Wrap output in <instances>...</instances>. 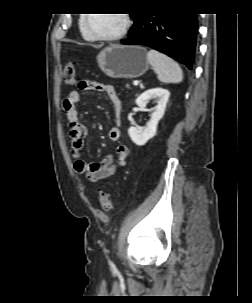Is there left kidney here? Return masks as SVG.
<instances>
[{"mask_svg":"<svg viewBox=\"0 0 252 303\" xmlns=\"http://www.w3.org/2000/svg\"><path fill=\"white\" fill-rule=\"evenodd\" d=\"M169 96L170 93L168 90L157 87L149 89L137 97L135 103L141 108H145L147 102L152 98L156 99L157 106L151 113L150 121L146 127L137 128L132 126L128 129V134L136 145H145L148 140L155 136L158 122L164 115Z\"/></svg>","mask_w":252,"mask_h":303,"instance_id":"obj_1","label":"left kidney"}]
</instances>
